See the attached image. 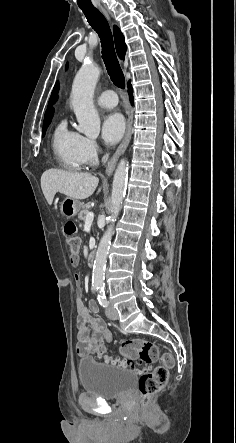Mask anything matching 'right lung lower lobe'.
I'll return each mask as SVG.
<instances>
[{
	"instance_id": "right-lung-lower-lobe-1",
	"label": "right lung lower lobe",
	"mask_w": 236,
	"mask_h": 443,
	"mask_svg": "<svg viewBox=\"0 0 236 443\" xmlns=\"http://www.w3.org/2000/svg\"><path fill=\"white\" fill-rule=\"evenodd\" d=\"M128 90H129V94H130V98H131V101L133 100V90H132V86H131V84H130V81L128 82Z\"/></svg>"
}]
</instances>
